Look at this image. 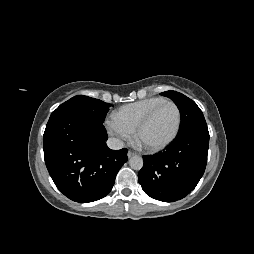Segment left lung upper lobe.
Masks as SVG:
<instances>
[{
	"mask_svg": "<svg viewBox=\"0 0 254 254\" xmlns=\"http://www.w3.org/2000/svg\"><path fill=\"white\" fill-rule=\"evenodd\" d=\"M161 95L172 99L180 110L181 124L178 135L195 129H208L202 111L193 100L176 91H166Z\"/></svg>",
	"mask_w": 254,
	"mask_h": 254,
	"instance_id": "obj_1",
	"label": "left lung upper lobe"
}]
</instances>
